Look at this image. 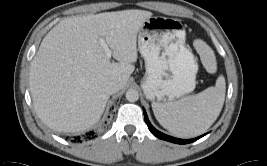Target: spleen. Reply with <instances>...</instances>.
Segmentation results:
<instances>
[{"label": "spleen", "mask_w": 267, "mask_h": 166, "mask_svg": "<svg viewBox=\"0 0 267 166\" xmlns=\"http://www.w3.org/2000/svg\"><path fill=\"white\" fill-rule=\"evenodd\" d=\"M202 56L212 53L204 48ZM226 83L219 76L216 85L204 91L168 103H152L157 121L162 127L179 137H192L204 133L219 116L225 100Z\"/></svg>", "instance_id": "1"}]
</instances>
